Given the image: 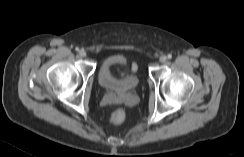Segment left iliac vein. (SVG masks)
Returning <instances> with one entry per match:
<instances>
[{
  "label": "left iliac vein",
  "mask_w": 244,
  "mask_h": 157,
  "mask_svg": "<svg viewBox=\"0 0 244 157\" xmlns=\"http://www.w3.org/2000/svg\"><path fill=\"white\" fill-rule=\"evenodd\" d=\"M159 60H160L161 63H165L167 61V57L163 55V56L160 57Z\"/></svg>",
  "instance_id": "obj_1"
}]
</instances>
